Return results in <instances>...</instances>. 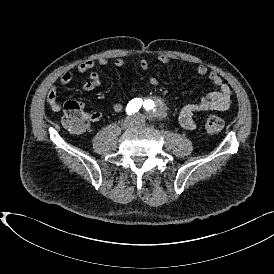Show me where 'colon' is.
<instances>
[{"label":"colon","instance_id":"1","mask_svg":"<svg viewBox=\"0 0 274 274\" xmlns=\"http://www.w3.org/2000/svg\"><path fill=\"white\" fill-rule=\"evenodd\" d=\"M62 123L75 133H81L88 124V115L83 111L79 101L70 100L63 105ZM224 124L220 117L213 116L206 120L205 131L208 134H217L223 130Z\"/></svg>","mask_w":274,"mask_h":274}]
</instances>
